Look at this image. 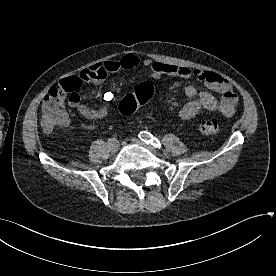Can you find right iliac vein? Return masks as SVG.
Wrapping results in <instances>:
<instances>
[{"label":"right iliac vein","mask_w":276,"mask_h":276,"mask_svg":"<svg viewBox=\"0 0 276 276\" xmlns=\"http://www.w3.org/2000/svg\"><path fill=\"white\" fill-rule=\"evenodd\" d=\"M109 151L114 154L118 151L119 149V144L116 145H108Z\"/></svg>","instance_id":"1"}]
</instances>
